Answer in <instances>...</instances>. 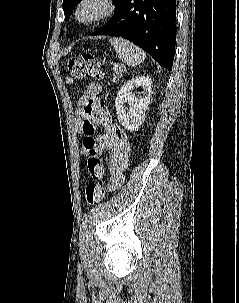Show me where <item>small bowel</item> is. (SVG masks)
I'll return each mask as SVG.
<instances>
[{
  "mask_svg": "<svg viewBox=\"0 0 239 303\" xmlns=\"http://www.w3.org/2000/svg\"><path fill=\"white\" fill-rule=\"evenodd\" d=\"M100 90L98 83L93 82L88 85L78 105L79 113H85L86 108H89V112L91 111V102ZM98 119L102 124L103 131L96 138L98 143L96 150L98 153L108 151L110 154L108 189L116 191L124 184L125 171L131 156L132 145L128 135L118 124L108 123L106 114L98 112ZM81 153L88 157V151L84 146L81 147Z\"/></svg>",
  "mask_w": 239,
  "mask_h": 303,
  "instance_id": "c3829d8e",
  "label": "small bowel"
}]
</instances>
